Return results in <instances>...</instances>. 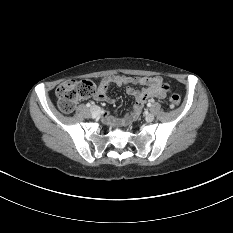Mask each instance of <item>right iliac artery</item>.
<instances>
[{"instance_id": "1", "label": "right iliac artery", "mask_w": 233, "mask_h": 233, "mask_svg": "<svg viewBox=\"0 0 233 233\" xmlns=\"http://www.w3.org/2000/svg\"><path fill=\"white\" fill-rule=\"evenodd\" d=\"M86 106H87V107H90V106H91V104H90V103H87V104H86Z\"/></svg>"}]
</instances>
